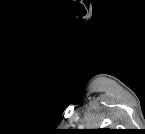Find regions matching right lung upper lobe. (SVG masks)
<instances>
[{
	"instance_id": "1",
	"label": "right lung upper lobe",
	"mask_w": 145,
	"mask_h": 134,
	"mask_svg": "<svg viewBox=\"0 0 145 134\" xmlns=\"http://www.w3.org/2000/svg\"><path fill=\"white\" fill-rule=\"evenodd\" d=\"M108 129H102L101 131H107Z\"/></svg>"
}]
</instances>
